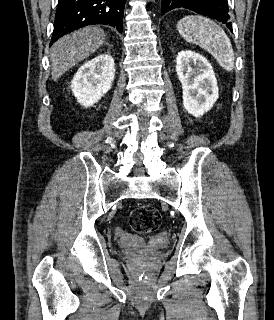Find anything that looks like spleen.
Here are the masks:
<instances>
[{
    "instance_id": "1",
    "label": "spleen",
    "mask_w": 274,
    "mask_h": 320,
    "mask_svg": "<svg viewBox=\"0 0 274 320\" xmlns=\"http://www.w3.org/2000/svg\"><path fill=\"white\" fill-rule=\"evenodd\" d=\"M177 30L186 42L207 50L226 72L234 70L232 44L224 30L209 18L185 16L178 22Z\"/></svg>"
}]
</instances>
